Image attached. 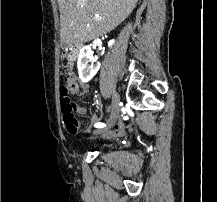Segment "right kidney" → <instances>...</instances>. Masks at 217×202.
<instances>
[{
  "mask_svg": "<svg viewBox=\"0 0 217 202\" xmlns=\"http://www.w3.org/2000/svg\"><path fill=\"white\" fill-rule=\"evenodd\" d=\"M114 40H110L108 42L109 48L113 46ZM93 52H91L90 46H84L82 50H80L77 68L78 74L81 82H90L92 78H94L95 74L98 72V66H93L94 58H92ZM90 62H92L91 66H89Z\"/></svg>",
  "mask_w": 217,
  "mask_h": 202,
  "instance_id": "1",
  "label": "right kidney"
}]
</instances>
